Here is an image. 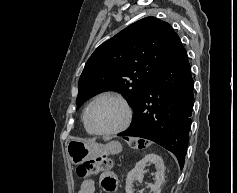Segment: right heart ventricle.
Listing matches in <instances>:
<instances>
[{
	"instance_id": "1",
	"label": "right heart ventricle",
	"mask_w": 237,
	"mask_h": 193,
	"mask_svg": "<svg viewBox=\"0 0 237 193\" xmlns=\"http://www.w3.org/2000/svg\"><path fill=\"white\" fill-rule=\"evenodd\" d=\"M83 124H84L85 130H86L89 134H93V132L89 129V127H88L87 124H86L85 113H84V116H83Z\"/></svg>"
}]
</instances>
